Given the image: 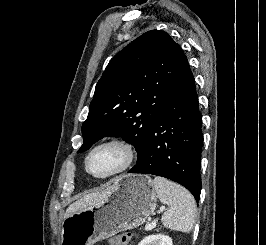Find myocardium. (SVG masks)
I'll return each instance as SVG.
<instances>
[{
  "mask_svg": "<svg viewBox=\"0 0 266 245\" xmlns=\"http://www.w3.org/2000/svg\"><path fill=\"white\" fill-rule=\"evenodd\" d=\"M108 144H115L118 145L120 147L123 148L124 152H125V161L124 164L122 165V167L117 170L116 172L106 175V176H97L92 174L89 170H88V160L91 156V154L98 148L104 146V145H108ZM137 157V152L135 147L128 142L127 140L123 139V138H119V137H109V138H105L99 142H97L96 144H94L85 154L84 160H83V169L84 172L86 173L87 176H89L92 179L95 180H101V181H105V180H111L114 178H117L121 175H123L124 173L128 172Z\"/></svg>",
  "mask_w": 266,
  "mask_h": 245,
  "instance_id": "myocardium-1",
  "label": "myocardium"
}]
</instances>
